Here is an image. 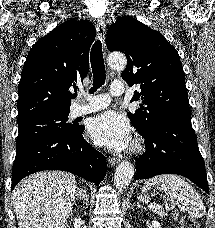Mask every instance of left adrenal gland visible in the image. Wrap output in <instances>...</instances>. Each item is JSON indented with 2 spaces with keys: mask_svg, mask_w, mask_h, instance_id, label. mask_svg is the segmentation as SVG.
Returning a JSON list of instances; mask_svg holds the SVG:
<instances>
[{
  "mask_svg": "<svg viewBox=\"0 0 215 228\" xmlns=\"http://www.w3.org/2000/svg\"><path fill=\"white\" fill-rule=\"evenodd\" d=\"M137 206H138V208H142V206H140L139 202H137Z\"/></svg>",
  "mask_w": 215,
  "mask_h": 228,
  "instance_id": "1",
  "label": "left adrenal gland"
}]
</instances>
